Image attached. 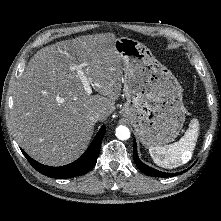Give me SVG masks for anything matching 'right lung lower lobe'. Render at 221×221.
Returning <instances> with one entry per match:
<instances>
[{
	"instance_id": "right-lung-lower-lobe-1",
	"label": "right lung lower lobe",
	"mask_w": 221,
	"mask_h": 221,
	"mask_svg": "<svg viewBox=\"0 0 221 221\" xmlns=\"http://www.w3.org/2000/svg\"><path fill=\"white\" fill-rule=\"evenodd\" d=\"M104 134L105 126H102L85 153L73 163L61 167L40 164L34 161L22 149L21 151L33 168L43 175L58 179L81 176L86 174L96 164Z\"/></svg>"
}]
</instances>
